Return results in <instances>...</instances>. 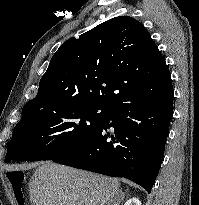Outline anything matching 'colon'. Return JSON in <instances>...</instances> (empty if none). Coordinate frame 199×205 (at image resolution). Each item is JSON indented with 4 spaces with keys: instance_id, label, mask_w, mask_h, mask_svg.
<instances>
[{
    "instance_id": "colon-1",
    "label": "colon",
    "mask_w": 199,
    "mask_h": 205,
    "mask_svg": "<svg viewBox=\"0 0 199 205\" xmlns=\"http://www.w3.org/2000/svg\"><path fill=\"white\" fill-rule=\"evenodd\" d=\"M8 180L10 184L12 185L14 194L16 197H21L22 196V185L25 182V174L20 171H14L8 173Z\"/></svg>"
}]
</instances>
